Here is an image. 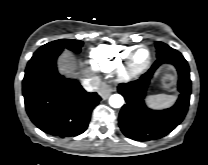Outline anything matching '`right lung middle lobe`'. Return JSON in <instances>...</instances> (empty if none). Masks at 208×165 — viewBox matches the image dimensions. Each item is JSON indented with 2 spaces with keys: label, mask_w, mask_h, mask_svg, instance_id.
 <instances>
[{
  "label": "right lung middle lobe",
  "mask_w": 208,
  "mask_h": 165,
  "mask_svg": "<svg viewBox=\"0 0 208 165\" xmlns=\"http://www.w3.org/2000/svg\"><path fill=\"white\" fill-rule=\"evenodd\" d=\"M83 45L82 41L79 40H73V39H61L56 40L53 42H49L43 46H41L34 54L33 57L39 56L41 54H44L45 52L54 50V49H63L67 48L75 53H79L81 50V47Z\"/></svg>",
  "instance_id": "dd1d6c3e"
}]
</instances>
